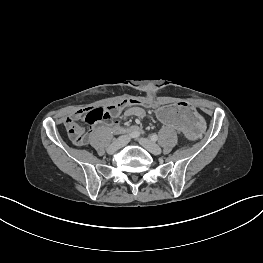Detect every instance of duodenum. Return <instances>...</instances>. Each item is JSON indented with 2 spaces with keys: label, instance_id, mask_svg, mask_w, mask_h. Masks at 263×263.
Instances as JSON below:
<instances>
[{
  "label": "duodenum",
  "instance_id": "1",
  "mask_svg": "<svg viewBox=\"0 0 263 263\" xmlns=\"http://www.w3.org/2000/svg\"><path fill=\"white\" fill-rule=\"evenodd\" d=\"M134 129H137V127H131L130 129H124L123 131H126V130H134Z\"/></svg>",
  "mask_w": 263,
  "mask_h": 263
}]
</instances>
